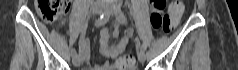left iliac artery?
I'll list each match as a JSON object with an SVG mask.
<instances>
[{
    "label": "left iliac artery",
    "mask_w": 238,
    "mask_h": 70,
    "mask_svg": "<svg viewBox=\"0 0 238 70\" xmlns=\"http://www.w3.org/2000/svg\"><path fill=\"white\" fill-rule=\"evenodd\" d=\"M115 14H116V18L117 20L122 23V24H126L127 20H126V17L121 9V3L120 2H117L116 3V6H115ZM146 42L145 43H142L141 46H140V49L142 51H148L149 50V47L146 46Z\"/></svg>",
    "instance_id": "44dca946"
}]
</instances>
